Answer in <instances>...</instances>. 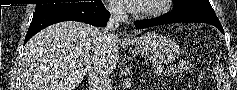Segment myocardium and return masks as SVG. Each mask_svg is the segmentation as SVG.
I'll return each mask as SVG.
<instances>
[{"instance_id": "obj_1", "label": "myocardium", "mask_w": 237, "mask_h": 90, "mask_svg": "<svg viewBox=\"0 0 237 90\" xmlns=\"http://www.w3.org/2000/svg\"><path fill=\"white\" fill-rule=\"evenodd\" d=\"M162 3H169V0L146 1L143 4L130 8V11L142 20L157 17L166 11Z\"/></svg>"}]
</instances>
